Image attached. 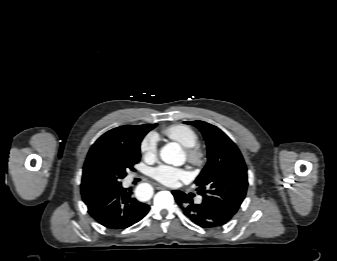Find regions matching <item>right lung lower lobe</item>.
I'll return each mask as SVG.
<instances>
[{
    "label": "right lung lower lobe",
    "instance_id": "98d812e1",
    "mask_svg": "<svg viewBox=\"0 0 337 261\" xmlns=\"http://www.w3.org/2000/svg\"><path fill=\"white\" fill-rule=\"evenodd\" d=\"M89 214L108 229H125L140 221L149 211L147 204L132 197L131 189L120 185L87 204Z\"/></svg>",
    "mask_w": 337,
    "mask_h": 261
}]
</instances>
